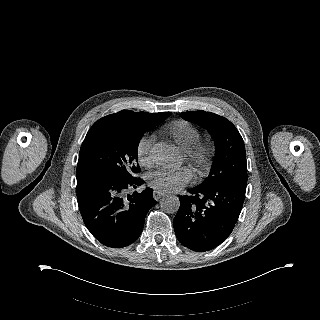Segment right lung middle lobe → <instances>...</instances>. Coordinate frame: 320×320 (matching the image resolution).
Returning a JSON list of instances; mask_svg holds the SVG:
<instances>
[{
  "instance_id": "right-lung-middle-lobe-1",
  "label": "right lung middle lobe",
  "mask_w": 320,
  "mask_h": 320,
  "mask_svg": "<svg viewBox=\"0 0 320 320\" xmlns=\"http://www.w3.org/2000/svg\"><path fill=\"white\" fill-rule=\"evenodd\" d=\"M143 134H101L83 142L77 170L98 168L123 179L136 178L134 174L140 171L137 150Z\"/></svg>"
}]
</instances>
